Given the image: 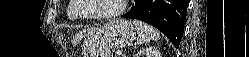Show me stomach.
I'll list each match as a JSON object with an SVG mask.
<instances>
[{"label": "stomach", "instance_id": "stomach-1", "mask_svg": "<svg viewBox=\"0 0 249 57\" xmlns=\"http://www.w3.org/2000/svg\"><path fill=\"white\" fill-rule=\"evenodd\" d=\"M135 38L136 28L130 21H110L85 38L83 57H112L111 49L126 47Z\"/></svg>", "mask_w": 249, "mask_h": 57}]
</instances>
